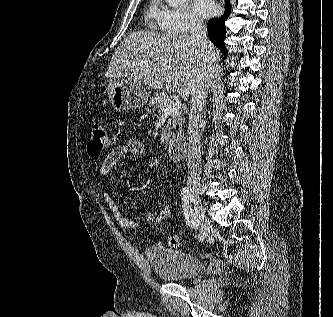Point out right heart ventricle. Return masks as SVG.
<instances>
[{"instance_id":"right-heart-ventricle-1","label":"right heart ventricle","mask_w":333,"mask_h":317,"mask_svg":"<svg viewBox=\"0 0 333 317\" xmlns=\"http://www.w3.org/2000/svg\"><path fill=\"white\" fill-rule=\"evenodd\" d=\"M160 12V5L158 0H150L147 8V19L152 29L159 27L158 15Z\"/></svg>"}]
</instances>
